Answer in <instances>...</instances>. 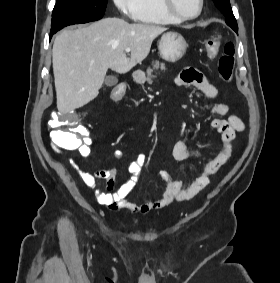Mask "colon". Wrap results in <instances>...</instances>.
Here are the masks:
<instances>
[{
    "label": "colon",
    "instance_id": "1",
    "mask_svg": "<svg viewBox=\"0 0 280 283\" xmlns=\"http://www.w3.org/2000/svg\"><path fill=\"white\" fill-rule=\"evenodd\" d=\"M221 45V39L218 34H213L205 42V51L210 59L216 57ZM235 44L228 41L223 46V52L218 60V72L225 82H230L233 76L235 64ZM125 87L117 86L112 90V98L118 100L123 97ZM79 119L78 110H54L52 118L49 121L50 138L55 149L72 151L81 144V137L77 132H88V127H64L68 120Z\"/></svg>",
    "mask_w": 280,
    "mask_h": 283
}]
</instances>
